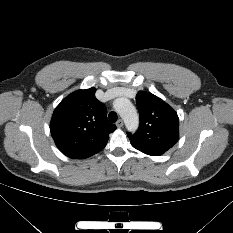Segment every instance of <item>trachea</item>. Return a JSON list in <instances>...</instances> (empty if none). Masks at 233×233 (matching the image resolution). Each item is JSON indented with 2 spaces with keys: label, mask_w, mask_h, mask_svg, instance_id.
Masks as SVG:
<instances>
[{
  "label": "trachea",
  "mask_w": 233,
  "mask_h": 233,
  "mask_svg": "<svg viewBox=\"0 0 233 233\" xmlns=\"http://www.w3.org/2000/svg\"><path fill=\"white\" fill-rule=\"evenodd\" d=\"M108 118H109V121H110L111 123H115V122L117 121V119H118V116H117L116 112L111 111V112L109 113V115H108Z\"/></svg>",
  "instance_id": "3493384b"
}]
</instances>
